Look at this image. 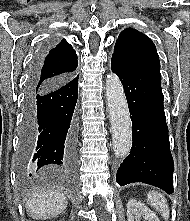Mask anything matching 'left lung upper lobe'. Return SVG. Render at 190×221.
<instances>
[{
  "label": "left lung upper lobe",
  "instance_id": "left-lung-upper-lobe-1",
  "mask_svg": "<svg viewBox=\"0 0 190 221\" xmlns=\"http://www.w3.org/2000/svg\"><path fill=\"white\" fill-rule=\"evenodd\" d=\"M112 57L133 67L160 71L159 56L154 43L149 37L132 28L120 33Z\"/></svg>",
  "mask_w": 190,
  "mask_h": 221
}]
</instances>
